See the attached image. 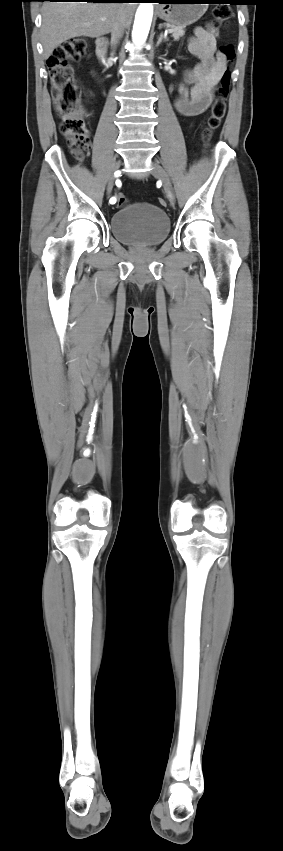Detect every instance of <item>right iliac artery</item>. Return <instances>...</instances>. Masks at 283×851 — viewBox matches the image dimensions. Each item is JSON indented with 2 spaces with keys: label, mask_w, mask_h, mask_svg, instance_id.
I'll return each instance as SVG.
<instances>
[{
  "label": "right iliac artery",
  "mask_w": 283,
  "mask_h": 851,
  "mask_svg": "<svg viewBox=\"0 0 283 851\" xmlns=\"http://www.w3.org/2000/svg\"><path fill=\"white\" fill-rule=\"evenodd\" d=\"M116 184H117V188H119L120 190L123 188V187H122V185H121V183H120V180H119V179H116ZM115 202H116V199H115L114 197H112V198L110 199V203H111V204H114Z\"/></svg>",
  "instance_id": "1"
}]
</instances>
